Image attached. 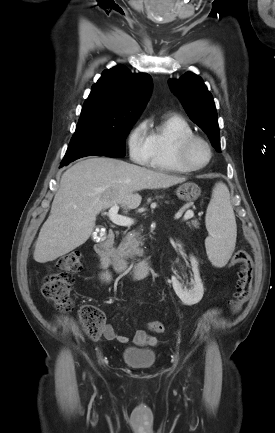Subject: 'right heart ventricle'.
I'll list each match as a JSON object with an SVG mask.
<instances>
[{"instance_id": "e07e8e85", "label": "right heart ventricle", "mask_w": 275, "mask_h": 433, "mask_svg": "<svg viewBox=\"0 0 275 433\" xmlns=\"http://www.w3.org/2000/svg\"><path fill=\"white\" fill-rule=\"evenodd\" d=\"M148 131L150 157L147 164L155 169L169 172H189L180 166L176 156L179 141L193 135L194 130L189 122L178 114H166Z\"/></svg>"}]
</instances>
